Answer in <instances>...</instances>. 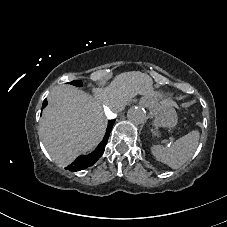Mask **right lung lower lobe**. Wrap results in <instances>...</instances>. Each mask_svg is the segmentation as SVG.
I'll return each instance as SVG.
<instances>
[{
    "instance_id": "98d812e1",
    "label": "right lung lower lobe",
    "mask_w": 227,
    "mask_h": 227,
    "mask_svg": "<svg viewBox=\"0 0 227 227\" xmlns=\"http://www.w3.org/2000/svg\"><path fill=\"white\" fill-rule=\"evenodd\" d=\"M45 103L47 105L46 99L43 102V108L46 106ZM114 121L115 120H110L108 122L106 134H105L102 142L97 146V148L88 155L79 156L72 164H70L67 167V169H69L70 171H79V170L85 169V168L93 165L101 157V155L104 152L105 146L107 144L108 137L110 135Z\"/></svg>"
}]
</instances>
